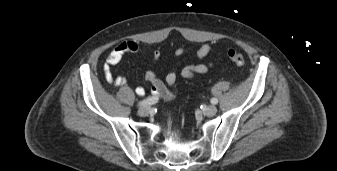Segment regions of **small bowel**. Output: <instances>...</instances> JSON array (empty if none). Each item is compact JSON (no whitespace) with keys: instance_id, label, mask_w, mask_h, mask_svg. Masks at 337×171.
Here are the masks:
<instances>
[{"instance_id":"obj_1","label":"small bowel","mask_w":337,"mask_h":171,"mask_svg":"<svg viewBox=\"0 0 337 171\" xmlns=\"http://www.w3.org/2000/svg\"><path fill=\"white\" fill-rule=\"evenodd\" d=\"M139 46L135 41H123L115 46L114 49L108 54L105 63L103 64V71L105 73V78L109 83L116 86H124L127 84V79L122 75H114L111 67L117 65L125 54L127 53H138ZM213 48L208 45H202L195 53V57L202 59L210 54H212ZM185 53L183 47H178L174 50L173 56L178 58ZM161 52L159 50H154L152 53V61L156 62L159 60ZM212 63L207 64H191L183 67L180 71V76L185 79H192L196 75H204L211 68ZM178 72L171 71L165 77V83L157 76V74L152 71H146L144 77L145 80L151 85V93L154 97L161 98L165 101H170L174 98L173 86L178 79ZM135 93L138 96H143L145 94V89L143 87H137Z\"/></svg>"}]
</instances>
